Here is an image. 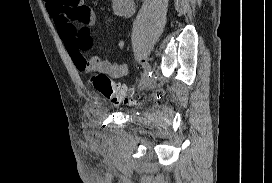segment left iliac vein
<instances>
[{
  "mask_svg": "<svg viewBox=\"0 0 272 183\" xmlns=\"http://www.w3.org/2000/svg\"><path fill=\"white\" fill-rule=\"evenodd\" d=\"M155 84V78L154 76L150 77V78H146L144 81H143V88L144 89H148V88H151L153 87Z\"/></svg>",
  "mask_w": 272,
  "mask_h": 183,
  "instance_id": "obj_1",
  "label": "left iliac vein"
}]
</instances>
